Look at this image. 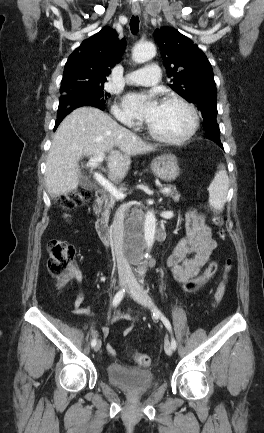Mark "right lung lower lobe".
<instances>
[{"label": "right lung lower lobe", "mask_w": 264, "mask_h": 433, "mask_svg": "<svg viewBox=\"0 0 264 433\" xmlns=\"http://www.w3.org/2000/svg\"><path fill=\"white\" fill-rule=\"evenodd\" d=\"M94 107H96V106H94ZM63 118L56 120V124H55V129L54 130H56V128L58 127V125L60 124V122L63 120Z\"/></svg>", "instance_id": "98d812e1"}]
</instances>
